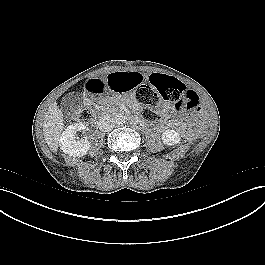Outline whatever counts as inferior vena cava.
Masks as SVG:
<instances>
[{"label":"inferior vena cava","instance_id":"1","mask_svg":"<svg viewBox=\"0 0 265 265\" xmlns=\"http://www.w3.org/2000/svg\"><path fill=\"white\" fill-rule=\"evenodd\" d=\"M115 126L114 119L109 115L100 117L98 121V127L103 132L111 131Z\"/></svg>","mask_w":265,"mask_h":265}]
</instances>
